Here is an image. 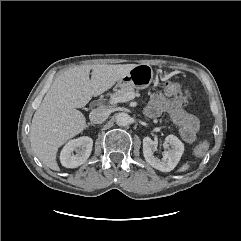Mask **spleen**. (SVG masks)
<instances>
[{
  "mask_svg": "<svg viewBox=\"0 0 241 241\" xmlns=\"http://www.w3.org/2000/svg\"><path fill=\"white\" fill-rule=\"evenodd\" d=\"M190 168L189 163H184L179 169L178 172H184Z\"/></svg>",
  "mask_w": 241,
  "mask_h": 241,
  "instance_id": "3e777b00",
  "label": "spleen"
}]
</instances>
